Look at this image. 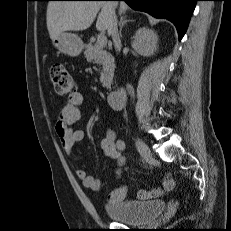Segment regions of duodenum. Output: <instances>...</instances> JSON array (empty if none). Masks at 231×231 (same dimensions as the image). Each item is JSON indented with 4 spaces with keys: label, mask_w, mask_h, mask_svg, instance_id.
I'll list each match as a JSON object with an SVG mask.
<instances>
[{
    "label": "duodenum",
    "mask_w": 231,
    "mask_h": 231,
    "mask_svg": "<svg viewBox=\"0 0 231 231\" xmlns=\"http://www.w3.org/2000/svg\"><path fill=\"white\" fill-rule=\"evenodd\" d=\"M124 96L125 90L123 88L111 91L108 95V102L110 107L114 110L122 109L124 105Z\"/></svg>",
    "instance_id": "obj_1"
}]
</instances>
